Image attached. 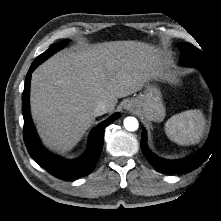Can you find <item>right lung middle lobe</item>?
I'll return each instance as SVG.
<instances>
[{
	"label": "right lung middle lobe",
	"mask_w": 221,
	"mask_h": 221,
	"mask_svg": "<svg viewBox=\"0 0 221 221\" xmlns=\"http://www.w3.org/2000/svg\"><path fill=\"white\" fill-rule=\"evenodd\" d=\"M69 40H63L57 44H52L49 49L47 51H45L44 53H42L41 55H39L35 61H39L40 63H42L44 60H46L48 57H50L55 51L61 49L64 47V45L66 44V42H68Z\"/></svg>",
	"instance_id": "obj_1"
}]
</instances>
